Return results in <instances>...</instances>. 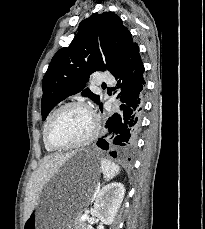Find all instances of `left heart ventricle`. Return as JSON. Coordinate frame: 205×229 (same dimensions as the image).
Masks as SVG:
<instances>
[{
    "label": "left heart ventricle",
    "instance_id": "left-heart-ventricle-1",
    "mask_svg": "<svg viewBox=\"0 0 205 229\" xmlns=\"http://www.w3.org/2000/svg\"><path fill=\"white\" fill-rule=\"evenodd\" d=\"M92 127V117L86 110L71 107L58 117L51 131V139L57 145L76 143L86 138Z\"/></svg>",
    "mask_w": 205,
    "mask_h": 229
}]
</instances>
